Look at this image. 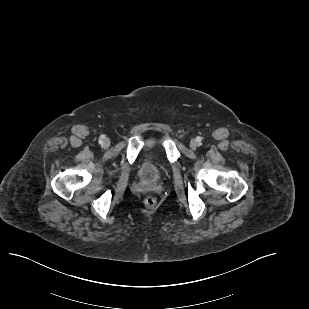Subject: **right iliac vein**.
Here are the masks:
<instances>
[{"mask_svg": "<svg viewBox=\"0 0 309 309\" xmlns=\"http://www.w3.org/2000/svg\"><path fill=\"white\" fill-rule=\"evenodd\" d=\"M102 146L104 148H108L110 146V140L108 138H105L102 142Z\"/></svg>", "mask_w": 309, "mask_h": 309, "instance_id": "1", "label": "right iliac vein"}]
</instances>
